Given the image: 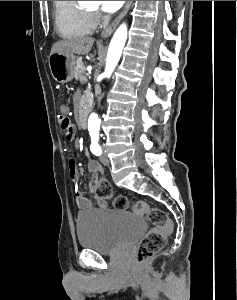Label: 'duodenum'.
Wrapping results in <instances>:
<instances>
[{"instance_id":"duodenum-1","label":"duodenum","mask_w":237,"mask_h":300,"mask_svg":"<svg viewBox=\"0 0 237 300\" xmlns=\"http://www.w3.org/2000/svg\"><path fill=\"white\" fill-rule=\"evenodd\" d=\"M79 123L82 129H86L87 127V116L86 113L82 110L79 114Z\"/></svg>"}]
</instances>
